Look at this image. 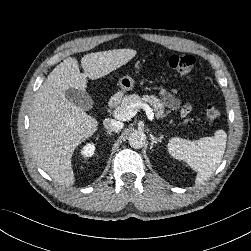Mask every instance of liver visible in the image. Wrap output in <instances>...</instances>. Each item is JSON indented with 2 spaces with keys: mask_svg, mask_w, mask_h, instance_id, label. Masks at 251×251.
<instances>
[{
  "mask_svg": "<svg viewBox=\"0 0 251 251\" xmlns=\"http://www.w3.org/2000/svg\"><path fill=\"white\" fill-rule=\"evenodd\" d=\"M133 49L90 53L82 57L80 73L75 58L68 57L48 75L35 95L30 114L29 142L37 164L58 183L75 182L72 156L97 130L98 122L65 97L70 88L83 92L87 78L97 80L129 62Z\"/></svg>",
  "mask_w": 251,
  "mask_h": 251,
  "instance_id": "6515ba94",
  "label": "liver"
}]
</instances>
